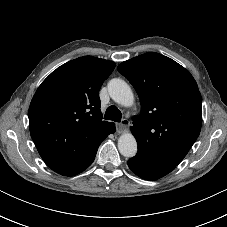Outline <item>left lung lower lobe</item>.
<instances>
[{
    "instance_id": "obj_1",
    "label": "left lung lower lobe",
    "mask_w": 227,
    "mask_h": 227,
    "mask_svg": "<svg viewBox=\"0 0 227 227\" xmlns=\"http://www.w3.org/2000/svg\"><path fill=\"white\" fill-rule=\"evenodd\" d=\"M127 164L136 175L146 180L159 179L175 168L172 165L156 162L142 154H137L129 159Z\"/></svg>"
}]
</instances>
